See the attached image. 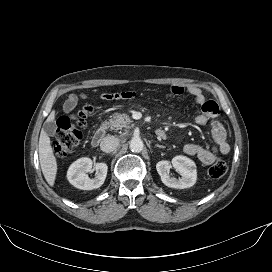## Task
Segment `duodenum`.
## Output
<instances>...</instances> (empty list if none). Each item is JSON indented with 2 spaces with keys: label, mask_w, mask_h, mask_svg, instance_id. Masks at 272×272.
Returning <instances> with one entry per match:
<instances>
[{
  "label": "duodenum",
  "mask_w": 272,
  "mask_h": 272,
  "mask_svg": "<svg viewBox=\"0 0 272 272\" xmlns=\"http://www.w3.org/2000/svg\"><path fill=\"white\" fill-rule=\"evenodd\" d=\"M155 134L160 139L166 138V133L163 130H156ZM105 136H106V128L99 129L92 138V144L94 146L100 145L101 142L104 140Z\"/></svg>",
  "instance_id": "obj_1"
}]
</instances>
